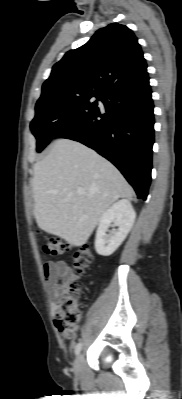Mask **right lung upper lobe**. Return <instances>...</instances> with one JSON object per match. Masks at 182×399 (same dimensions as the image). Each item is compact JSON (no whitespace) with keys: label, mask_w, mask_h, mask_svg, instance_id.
<instances>
[{"label":"right lung upper lobe","mask_w":182,"mask_h":399,"mask_svg":"<svg viewBox=\"0 0 182 399\" xmlns=\"http://www.w3.org/2000/svg\"><path fill=\"white\" fill-rule=\"evenodd\" d=\"M147 64L134 33L112 23L99 29L83 46L68 51L42 86L38 102L72 95H104L123 83L148 76Z\"/></svg>","instance_id":"right-lung-upper-lobe-1"}]
</instances>
